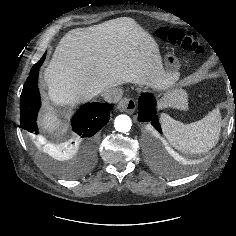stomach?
<instances>
[{
	"label": "stomach",
	"instance_id": "obj_1",
	"mask_svg": "<svg viewBox=\"0 0 236 236\" xmlns=\"http://www.w3.org/2000/svg\"><path fill=\"white\" fill-rule=\"evenodd\" d=\"M164 70L174 81L179 78V60L176 55L172 52H167L163 59ZM184 99H187L185 92H180Z\"/></svg>",
	"mask_w": 236,
	"mask_h": 236
}]
</instances>
